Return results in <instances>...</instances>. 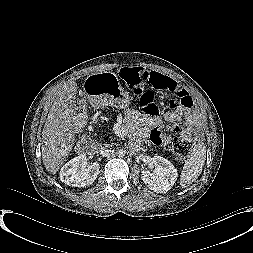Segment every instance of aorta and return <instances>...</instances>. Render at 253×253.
<instances>
[{"instance_id": "762f6f07", "label": "aorta", "mask_w": 253, "mask_h": 253, "mask_svg": "<svg viewBox=\"0 0 253 253\" xmlns=\"http://www.w3.org/2000/svg\"><path fill=\"white\" fill-rule=\"evenodd\" d=\"M117 153H118V155H119V156H121V157H122V156H124V155H125V153H126V152H125V150H124V149H122V148H121V149H119V150H118V152H117Z\"/></svg>"}]
</instances>
